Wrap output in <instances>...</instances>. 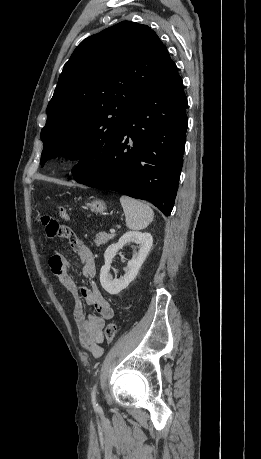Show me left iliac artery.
I'll return each mask as SVG.
<instances>
[{
	"label": "left iliac artery",
	"mask_w": 261,
	"mask_h": 459,
	"mask_svg": "<svg viewBox=\"0 0 261 459\" xmlns=\"http://www.w3.org/2000/svg\"><path fill=\"white\" fill-rule=\"evenodd\" d=\"M96 393H97V386L96 384L94 385L93 389H92V393H91V396H92V403H93V407L98 409L99 406L97 404V400H96Z\"/></svg>",
	"instance_id": "left-iliac-artery-1"
}]
</instances>
